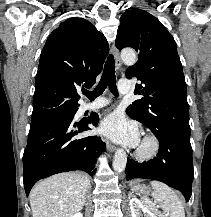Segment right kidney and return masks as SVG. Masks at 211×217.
Wrapping results in <instances>:
<instances>
[{
	"instance_id": "1",
	"label": "right kidney",
	"mask_w": 211,
	"mask_h": 217,
	"mask_svg": "<svg viewBox=\"0 0 211 217\" xmlns=\"http://www.w3.org/2000/svg\"><path fill=\"white\" fill-rule=\"evenodd\" d=\"M71 217H83V215H82V213H76V214H74V215L71 216Z\"/></svg>"
}]
</instances>
